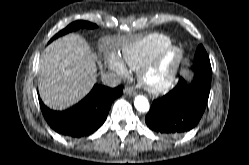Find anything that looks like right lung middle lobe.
Here are the masks:
<instances>
[{"mask_svg":"<svg viewBox=\"0 0 249 165\" xmlns=\"http://www.w3.org/2000/svg\"><path fill=\"white\" fill-rule=\"evenodd\" d=\"M80 27L94 28V27H96V25L89 23L87 21H75V22H72L71 24H69L63 30H61L57 35L54 36V38L61 35V34H65V33L69 32L75 28H80Z\"/></svg>","mask_w":249,"mask_h":165,"instance_id":"right-lung-middle-lobe-1","label":"right lung middle lobe"}]
</instances>
